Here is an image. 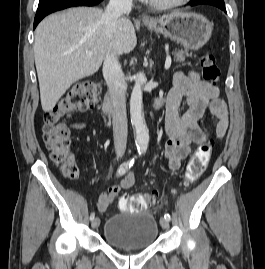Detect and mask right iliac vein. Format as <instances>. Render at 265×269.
<instances>
[{"instance_id":"right-iliac-vein-1","label":"right iliac vein","mask_w":265,"mask_h":269,"mask_svg":"<svg viewBox=\"0 0 265 269\" xmlns=\"http://www.w3.org/2000/svg\"><path fill=\"white\" fill-rule=\"evenodd\" d=\"M99 224H100V219L98 217H96L92 220L91 225L93 228H98Z\"/></svg>"}]
</instances>
